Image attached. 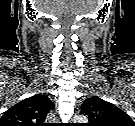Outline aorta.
<instances>
[{
  "instance_id": "aorta-1",
  "label": "aorta",
  "mask_w": 135,
  "mask_h": 126,
  "mask_svg": "<svg viewBox=\"0 0 135 126\" xmlns=\"http://www.w3.org/2000/svg\"><path fill=\"white\" fill-rule=\"evenodd\" d=\"M74 121H75V122H83V123H85V122L87 121V119H86L85 116L78 115V116H75V117H74Z\"/></svg>"
}]
</instances>
